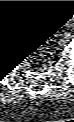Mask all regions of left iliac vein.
Returning a JSON list of instances; mask_svg holds the SVG:
<instances>
[{
  "mask_svg": "<svg viewBox=\"0 0 74 122\" xmlns=\"http://www.w3.org/2000/svg\"><path fill=\"white\" fill-rule=\"evenodd\" d=\"M68 28L72 27L73 25L72 24H67Z\"/></svg>",
  "mask_w": 74,
  "mask_h": 122,
  "instance_id": "1",
  "label": "left iliac vein"
}]
</instances>
